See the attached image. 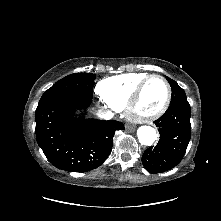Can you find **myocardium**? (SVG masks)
Masks as SVG:
<instances>
[{
    "mask_svg": "<svg viewBox=\"0 0 221 221\" xmlns=\"http://www.w3.org/2000/svg\"><path fill=\"white\" fill-rule=\"evenodd\" d=\"M154 78H158L160 79L165 87H166V97L165 100L163 102V104L160 106V108H158L156 111L150 113V114H139L137 112V105L140 101V97L141 94L145 88V86L147 85V83ZM171 97H172V90H171V86L169 84V82L167 81L166 78H164L163 76L159 75V74H151L148 75L145 79H143L138 86L135 88V90L133 91L127 105H126V114L127 117L136 123H146V122H150L156 118H158L159 116H161L169 107L170 102H171Z\"/></svg>",
    "mask_w": 221,
    "mask_h": 221,
    "instance_id": "f54148a6",
    "label": "myocardium"
}]
</instances>
